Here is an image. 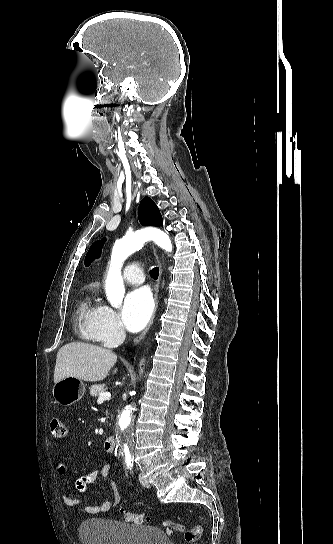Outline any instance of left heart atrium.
I'll return each mask as SVG.
<instances>
[{
    "instance_id": "obj_1",
    "label": "left heart atrium",
    "mask_w": 333,
    "mask_h": 544,
    "mask_svg": "<svg viewBox=\"0 0 333 544\" xmlns=\"http://www.w3.org/2000/svg\"><path fill=\"white\" fill-rule=\"evenodd\" d=\"M153 310V300L147 288L131 291L125 298L122 320L131 332L141 330L149 321Z\"/></svg>"
}]
</instances>
